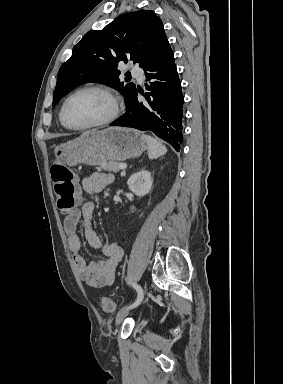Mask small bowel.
<instances>
[{
  "instance_id": "c3829d8e",
  "label": "small bowel",
  "mask_w": 283,
  "mask_h": 384,
  "mask_svg": "<svg viewBox=\"0 0 283 384\" xmlns=\"http://www.w3.org/2000/svg\"><path fill=\"white\" fill-rule=\"evenodd\" d=\"M112 181L113 176L111 174L95 172L83 178L81 185L86 193L96 194L101 192ZM93 214L94 203L86 201L64 218L63 225L79 277L91 288H104L113 284L116 269L123 258V250L116 241L111 243L102 242L91 226ZM81 220L87 243L92 248L100 250L104 255V259L88 261L82 255V241L77 232Z\"/></svg>"
}]
</instances>
